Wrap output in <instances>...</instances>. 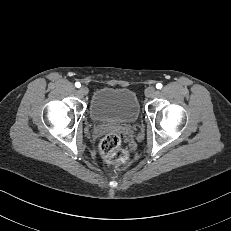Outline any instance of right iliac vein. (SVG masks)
Wrapping results in <instances>:
<instances>
[{
    "instance_id": "right-iliac-vein-1",
    "label": "right iliac vein",
    "mask_w": 231,
    "mask_h": 231,
    "mask_svg": "<svg viewBox=\"0 0 231 231\" xmlns=\"http://www.w3.org/2000/svg\"><path fill=\"white\" fill-rule=\"evenodd\" d=\"M79 91H80V93H81L82 95H87L88 92H89V90H88V88H87L86 86L80 87Z\"/></svg>"
}]
</instances>
